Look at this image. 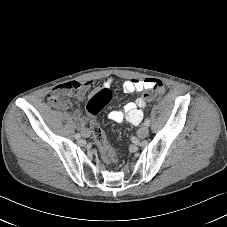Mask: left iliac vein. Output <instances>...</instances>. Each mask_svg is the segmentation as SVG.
<instances>
[{
	"mask_svg": "<svg viewBox=\"0 0 227 227\" xmlns=\"http://www.w3.org/2000/svg\"><path fill=\"white\" fill-rule=\"evenodd\" d=\"M148 133H149V129L146 125H142L137 131V135L141 139H144L145 137H147Z\"/></svg>",
	"mask_w": 227,
	"mask_h": 227,
	"instance_id": "left-iliac-vein-1",
	"label": "left iliac vein"
}]
</instances>
